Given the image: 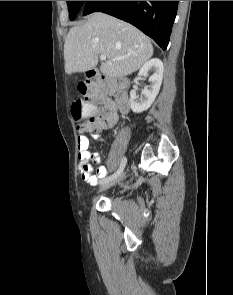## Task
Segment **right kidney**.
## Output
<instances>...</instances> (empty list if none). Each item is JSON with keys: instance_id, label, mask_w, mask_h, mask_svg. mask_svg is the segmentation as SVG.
Masks as SVG:
<instances>
[{"instance_id": "1", "label": "right kidney", "mask_w": 233, "mask_h": 295, "mask_svg": "<svg viewBox=\"0 0 233 295\" xmlns=\"http://www.w3.org/2000/svg\"><path fill=\"white\" fill-rule=\"evenodd\" d=\"M150 70L153 71V74L148 79L150 85L142 90L141 96L139 97L136 95V89L131 90L130 92V104L134 113H141L147 110L152 105L159 93L164 72L162 61L158 58H153L147 61L140 68L138 77H147Z\"/></svg>"}]
</instances>
